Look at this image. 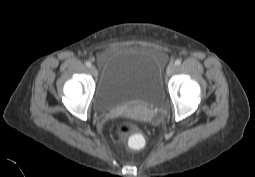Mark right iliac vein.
Segmentation results:
<instances>
[{
	"label": "right iliac vein",
	"instance_id": "1",
	"mask_svg": "<svg viewBox=\"0 0 255 177\" xmlns=\"http://www.w3.org/2000/svg\"><path fill=\"white\" fill-rule=\"evenodd\" d=\"M90 72H91V74H92L94 77H96V76L98 75V71H97V69H96L94 66H91V67H90Z\"/></svg>",
	"mask_w": 255,
	"mask_h": 177
}]
</instances>
